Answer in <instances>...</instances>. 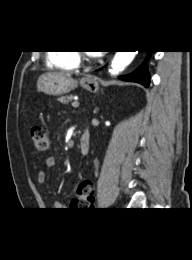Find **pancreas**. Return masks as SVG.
Returning <instances> with one entry per match:
<instances>
[{
  "label": "pancreas",
  "instance_id": "obj_1",
  "mask_svg": "<svg viewBox=\"0 0 192 260\" xmlns=\"http://www.w3.org/2000/svg\"><path fill=\"white\" fill-rule=\"evenodd\" d=\"M72 99H73V96H72V95H69V96H62V97H60L58 100H59L61 103L68 104L70 101H72Z\"/></svg>",
  "mask_w": 192,
  "mask_h": 260
}]
</instances>
